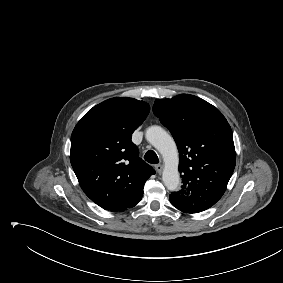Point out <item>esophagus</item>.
<instances>
[{
	"label": "esophagus",
	"mask_w": 283,
	"mask_h": 283,
	"mask_svg": "<svg viewBox=\"0 0 283 283\" xmlns=\"http://www.w3.org/2000/svg\"><path fill=\"white\" fill-rule=\"evenodd\" d=\"M155 169H156V171H157L159 174H161L162 171H163V166H162L161 164H157V165L155 166Z\"/></svg>",
	"instance_id": "34e87169"
}]
</instances>
